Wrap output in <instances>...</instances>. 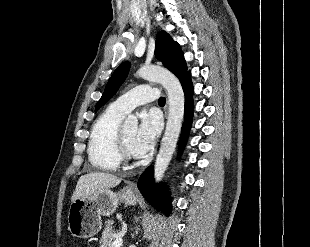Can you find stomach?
<instances>
[{
  "mask_svg": "<svg viewBox=\"0 0 310 247\" xmlns=\"http://www.w3.org/2000/svg\"><path fill=\"white\" fill-rule=\"evenodd\" d=\"M137 201V194L128 187L119 192L100 189L88 197L73 200L68 210V230L74 237H93L102 228V216H111L120 202L135 205Z\"/></svg>",
  "mask_w": 310,
  "mask_h": 247,
  "instance_id": "obj_1",
  "label": "stomach"
}]
</instances>
